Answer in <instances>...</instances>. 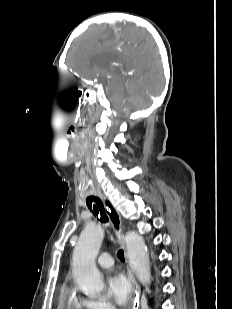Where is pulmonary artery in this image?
Listing matches in <instances>:
<instances>
[{
	"mask_svg": "<svg viewBox=\"0 0 232 309\" xmlns=\"http://www.w3.org/2000/svg\"><path fill=\"white\" fill-rule=\"evenodd\" d=\"M98 265L100 268L106 269L113 266V259L109 253L102 254L98 259Z\"/></svg>",
	"mask_w": 232,
	"mask_h": 309,
	"instance_id": "obj_1",
	"label": "pulmonary artery"
}]
</instances>
